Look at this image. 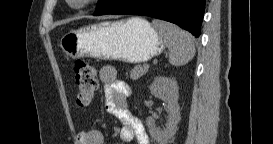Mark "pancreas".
Segmentation results:
<instances>
[{"label":"pancreas","mask_w":273,"mask_h":144,"mask_svg":"<svg viewBox=\"0 0 273 144\" xmlns=\"http://www.w3.org/2000/svg\"><path fill=\"white\" fill-rule=\"evenodd\" d=\"M148 69L145 67V65H137L130 71V78L133 80H137L142 75L146 74Z\"/></svg>","instance_id":"1"}]
</instances>
